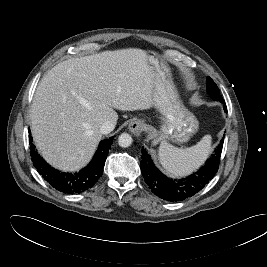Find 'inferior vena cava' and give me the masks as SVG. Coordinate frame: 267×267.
<instances>
[{
  "mask_svg": "<svg viewBox=\"0 0 267 267\" xmlns=\"http://www.w3.org/2000/svg\"><path fill=\"white\" fill-rule=\"evenodd\" d=\"M115 128V124L111 121H105L101 127H100V132L101 134H108L111 131H113Z\"/></svg>",
  "mask_w": 267,
  "mask_h": 267,
  "instance_id": "1",
  "label": "inferior vena cava"
}]
</instances>
